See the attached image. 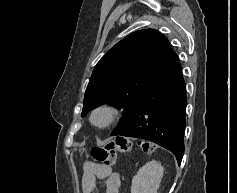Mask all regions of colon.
I'll return each mask as SVG.
<instances>
[{
    "label": "colon",
    "mask_w": 237,
    "mask_h": 193,
    "mask_svg": "<svg viewBox=\"0 0 237 193\" xmlns=\"http://www.w3.org/2000/svg\"><path fill=\"white\" fill-rule=\"evenodd\" d=\"M138 146L144 151H150L151 147L145 142H138ZM132 149V141L126 137H116L115 140L104 146H97L91 150L92 157L103 166L112 167L115 164L117 153H126Z\"/></svg>",
    "instance_id": "colon-1"
}]
</instances>
